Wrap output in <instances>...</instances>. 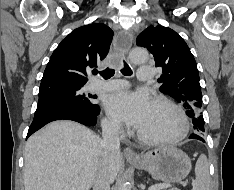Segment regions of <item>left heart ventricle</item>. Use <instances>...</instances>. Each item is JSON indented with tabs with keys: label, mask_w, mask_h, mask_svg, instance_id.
Instances as JSON below:
<instances>
[{
	"label": "left heart ventricle",
	"mask_w": 234,
	"mask_h": 190,
	"mask_svg": "<svg viewBox=\"0 0 234 190\" xmlns=\"http://www.w3.org/2000/svg\"><path fill=\"white\" fill-rule=\"evenodd\" d=\"M180 122L175 112L161 103H152L150 112L138 130L147 136H167L178 132Z\"/></svg>",
	"instance_id": "left-heart-ventricle-1"
}]
</instances>
